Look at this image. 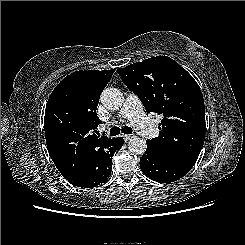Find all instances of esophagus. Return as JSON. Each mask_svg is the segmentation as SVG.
<instances>
[{"instance_id":"esophagus-1","label":"esophagus","mask_w":245,"mask_h":245,"mask_svg":"<svg viewBox=\"0 0 245 245\" xmlns=\"http://www.w3.org/2000/svg\"><path fill=\"white\" fill-rule=\"evenodd\" d=\"M123 137H124L125 141H129V140L133 139L135 137V135H133V134L132 135H124Z\"/></svg>"}]
</instances>
